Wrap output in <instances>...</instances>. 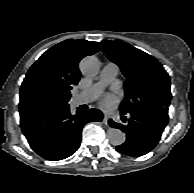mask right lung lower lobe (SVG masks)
<instances>
[{"label": "right lung lower lobe", "mask_w": 194, "mask_h": 193, "mask_svg": "<svg viewBox=\"0 0 194 193\" xmlns=\"http://www.w3.org/2000/svg\"><path fill=\"white\" fill-rule=\"evenodd\" d=\"M98 109L71 115L69 106L20 114L22 132L41 157L57 161L71 156L80 146L81 132L88 122L101 121Z\"/></svg>", "instance_id": "98d812e1"}]
</instances>
